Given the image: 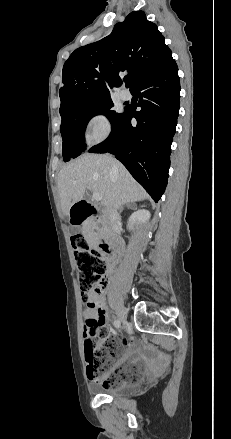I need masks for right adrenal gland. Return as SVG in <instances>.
Segmentation results:
<instances>
[{
    "instance_id": "right-adrenal-gland-1",
    "label": "right adrenal gland",
    "mask_w": 231,
    "mask_h": 439,
    "mask_svg": "<svg viewBox=\"0 0 231 439\" xmlns=\"http://www.w3.org/2000/svg\"><path fill=\"white\" fill-rule=\"evenodd\" d=\"M127 206H128V204H127ZM128 207H129V206H128ZM122 210H123V206L120 207V211H122Z\"/></svg>"
}]
</instances>
